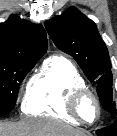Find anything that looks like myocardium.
<instances>
[{
    "instance_id": "myocardium-1",
    "label": "myocardium",
    "mask_w": 117,
    "mask_h": 136,
    "mask_svg": "<svg viewBox=\"0 0 117 136\" xmlns=\"http://www.w3.org/2000/svg\"><path fill=\"white\" fill-rule=\"evenodd\" d=\"M86 99H91L96 107V116L91 121L85 119L81 112V105ZM67 111L76 120L85 124H93L98 121L101 116V104L99 98L92 90L87 87L80 88L73 91L68 97Z\"/></svg>"
}]
</instances>
